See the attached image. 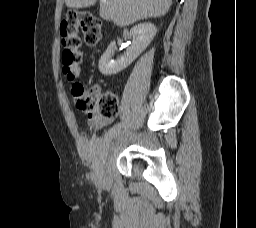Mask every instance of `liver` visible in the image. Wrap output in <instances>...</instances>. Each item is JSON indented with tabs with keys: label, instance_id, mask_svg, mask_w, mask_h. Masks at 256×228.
Here are the masks:
<instances>
[{
	"label": "liver",
	"instance_id": "6515ba94",
	"mask_svg": "<svg viewBox=\"0 0 256 228\" xmlns=\"http://www.w3.org/2000/svg\"><path fill=\"white\" fill-rule=\"evenodd\" d=\"M68 8H83L97 0H64ZM172 0H100L99 15L123 27L139 20L164 16L170 9Z\"/></svg>",
	"mask_w": 256,
	"mask_h": 228
}]
</instances>
